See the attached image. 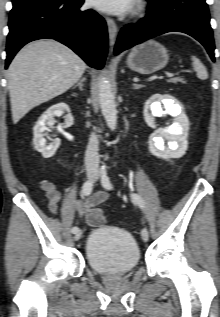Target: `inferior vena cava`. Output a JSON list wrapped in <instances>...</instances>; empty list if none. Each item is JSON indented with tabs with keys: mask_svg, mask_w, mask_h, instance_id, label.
I'll list each match as a JSON object with an SVG mask.
<instances>
[{
	"mask_svg": "<svg viewBox=\"0 0 220 317\" xmlns=\"http://www.w3.org/2000/svg\"><path fill=\"white\" fill-rule=\"evenodd\" d=\"M99 141L97 136L92 133L85 153V167L87 171L97 172L99 166L98 154Z\"/></svg>",
	"mask_w": 220,
	"mask_h": 317,
	"instance_id": "602c4592",
	"label": "inferior vena cava"
}]
</instances>
